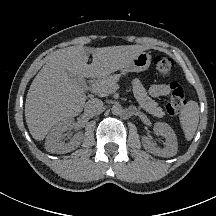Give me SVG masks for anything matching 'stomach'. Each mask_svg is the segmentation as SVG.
Listing matches in <instances>:
<instances>
[{
  "label": "stomach",
  "instance_id": "0dacf381",
  "mask_svg": "<svg viewBox=\"0 0 216 216\" xmlns=\"http://www.w3.org/2000/svg\"><path fill=\"white\" fill-rule=\"evenodd\" d=\"M151 63V55L146 52L139 53L121 70L124 72H141L149 68Z\"/></svg>",
  "mask_w": 216,
  "mask_h": 216
}]
</instances>
